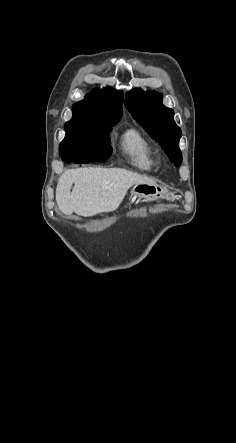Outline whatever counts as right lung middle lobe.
<instances>
[{
	"label": "right lung middle lobe",
	"mask_w": 236,
	"mask_h": 443,
	"mask_svg": "<svg viewBox=\"0 0 236 443\" xmlns=\"http://www.w3.org/2000/svg\"><path fill=\"white\" fill-rule=\"evenodd\" d=\"M120 119L102 116H74L65 123L66 135L59 150L67 146L111 148L109 132Z\"/></svg>",
	"instance_id": "dd1d6c3e"
}]
</instances>
